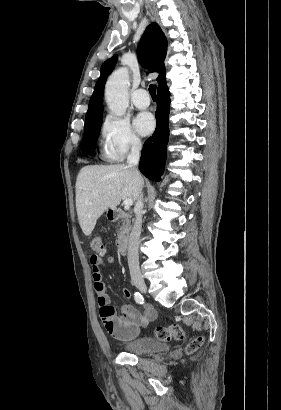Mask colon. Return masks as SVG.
Segmentation results:
<instances>
[{
  "label": "colon",
  "mask_w": 281,
  "mask_h": 410,
  "mask_svg": "<svg viewBox=\"0 0 281 410\" xmlns=\"http://www.w3.org/2000/svg\"><path fill=\"white\" fill-rule=\"evenodd\" d=\"M91 248L93 251H95L99 255H105L106 250L104 243L101 238L96 237L92 240L91 242ZM103 315H106L107 318H110L113 316V311L112 310H103L102 311ZM105 324V327L107 330H110L112 328V322L108 321ZM154 336L156 339L163 341V342H172V341H183L185 337V332L182 326L178 324H171L168 326H156L153 330ZM203 337H197L193 340H191L187 347L186 351L189 354L194 353L197 351L200 346L203 344Z\"/></svg>",
  "instance_id": "5ec220e1"
}]
</instances>
